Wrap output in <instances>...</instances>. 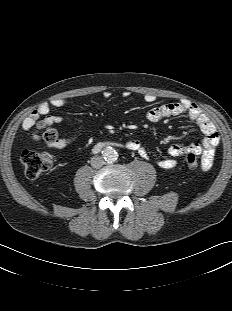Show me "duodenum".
I'll return each mask as SVG.
<instances>
[{
  "mask_svg": "<svg viewBox=\"0 0 232 311\" xmlns=\"http://www.w3.org/2000/svg\"><path fill=\"white\" fill-rule=\"evenodd\" d=\"M109 146H114V147H122L123 145L117 143V142H100L98 143L95 147L94 150L95 151H100L104 148H107Z\"/></svg>",
  "mask_w": 232,
  "mask_h": 311,
  "instance_id": "obj_1",
  "label": "duodenum"
}]
</instances>
